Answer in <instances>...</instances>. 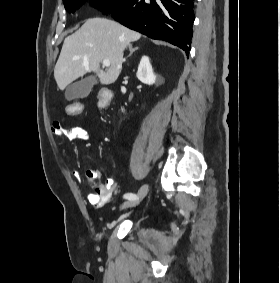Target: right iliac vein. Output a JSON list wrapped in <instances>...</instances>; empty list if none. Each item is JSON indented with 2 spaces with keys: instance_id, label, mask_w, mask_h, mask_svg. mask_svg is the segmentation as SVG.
Here are the masks:
<instances>
[{
  "instance_id": "1",
  "label": "right iliac vein",
  "mask_w": 280,
  "mask_h": 283,
  "mask_svg": "<svg viewBox=\"0 0 280 283\" xmlns=\"http://www.w3.org/2000/svg\"><path fill=\"white\" fill-rule=\"evenodd\" d=\"M148 190H149L148 186L143 185L137 193V198L124 202L121 205V209H126V208H129V207H134V206L138 205L140 203V201L147 195Z\"/></svg>"
}]
</instances>
